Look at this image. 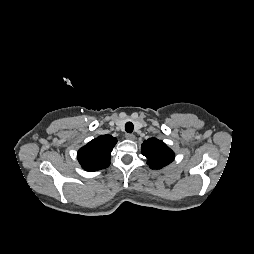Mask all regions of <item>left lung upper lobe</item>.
Returning <instances> with one entry per match:
<instances>
[{
    "label": "left lung upper lobe",
    "instance_id": "1",
    "mask_svg": "<svg viewBox=\"0 0 254 254\" xmlns=\"http://www.w3.org/2000/svg\"><path fill=\"white\" fill-rule=\"evenodd\" d=\"M141 153L152 169H161L174 160V152L161 140L150 138L142 144Z\"/></svg>",
    "mask_w": 254,
    "mask_h": 254
}]
</instances>
